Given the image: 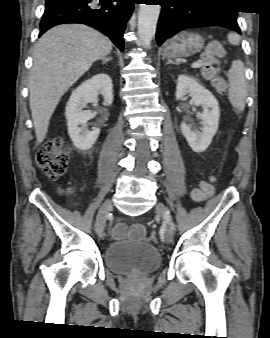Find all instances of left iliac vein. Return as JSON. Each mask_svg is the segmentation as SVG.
Returning a JSON list of instances; mask_svg holds the SVG:
<instances>
[{"mask_svg": "<svg viewBox=\"0 0 270 338\" xmlns=\"http://www.w3.org/2000/svg\"><path fill=\"white\" fill-rule=\"evenodd\" d=\"M156 213L163 218L165 221V229H164V240L167 244H171L174 239L173 229L170 223V218L166 215V208L163 203L158 202L156 205Z\"/></svg>", "mask_w": 270, "mask_h": 338, "instance_id": "1", "label": "left iliac vein"}]
</instances>
